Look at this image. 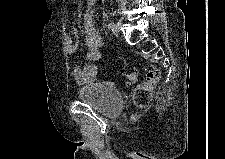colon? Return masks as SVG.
<instances>
[{
	"mask_svg": "<svg viewBox=\"0 0 225 159\" xmlns=\"http://www.w3.org/2000/svg\"><path fill=\"white\" fill-rule=\"evenodd\" d=\"M138 80V72L132 70L126 78L127 84H134ZM160 80V72L157 69H149L146 72L145 80L139 84L133 92V103L136 108L144 109L149 106L153 91Z\"/></svg>",
	"mask_w": 225,
	"mask_h": 159,
	"instance_id": "1",
	"label": "colon"
}]
</instances>
